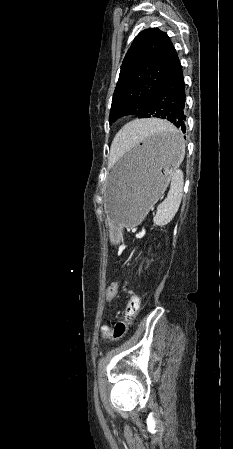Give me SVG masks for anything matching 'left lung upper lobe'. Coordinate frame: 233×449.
Listing matches in <instances>:
<instances>
[{"instance_id": "obj_1", "label": "left lung upper lobe", "mask_w": 233, "mask_h": 449, "mask_svg": "<svg viewBox=\"0 0 233 449\" xmlns=\"http://www.w3.org/2000/svg\"><path fill=\"white\" fill-rule=\"evenodd\" d=\"M179 64L165 32L158 28L141 31L122 62L109 122L129 114L144 118L154 94Z\"/></svg>"}]
</instances>
